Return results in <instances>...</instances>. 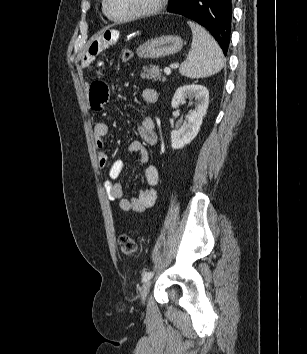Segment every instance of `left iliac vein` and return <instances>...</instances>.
<instances>
[{
  "label": "left iliac vein",
  "instance_id": "1",
  "mask_svg": "<svg viewBox=\"0 0 307 354\" xmlns=\"http://www.w3.org/2000/svg\"><path fill=\"white\" fill-rule=\"evenodd\" d=\"M150 286H151V281H146L140 290V297H141V300L143 303L145 302V300L147 298V295L150 290Z\"/></svg>",
  "mask_w": 307,
  "mask_h": 354
}]
</instances>
